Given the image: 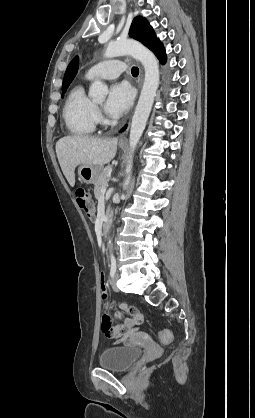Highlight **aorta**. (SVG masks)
Here are the masks:
<instances>
[{"label": "aorta", "instance_id": "1", "mask_svg": "<svg viewBox=\"0 0 255 418\" xmlns=\"http://www.w3.org/2000/svg\"><path fill=\"white\" fill-rule=\"evenodd\" d=\"M131 55L136 60L140 61L145 70V79L141 94L132 118L129 144L130 155L126 166V180L123 188L126 189L130 183V173L132 169V154L142 136L149 118L151 108L156 96L159 85V64L155 55L142 44L134 40H119L110 42L107 45L104 56L106 58H113L121 55ZM108 93L107 86L99 81H94L89 89V95L96 101H103ZM109 247L112 249L111 240H109Z\"/></svg>", "mask_w": 255, "mask_h": 418}]
</instances>
